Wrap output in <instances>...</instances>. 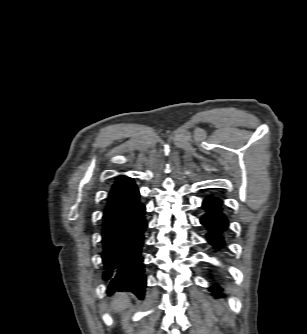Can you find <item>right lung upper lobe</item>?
Here are the masks:
<instances>
[{
	"mask_svg": "<svg viewBox=\"0 0 307 334\" xmlns=\"http://www.w3.org/2000/svg\"><path fill=\"white\" fill-rule=\"evenodd\" d=\"M122 178H124V177H119L117 180H120V179H122Z\"/></svg>",
	"mask_w": 307,
	"mask_h": 334,
	"instance_id": "1",
	"label": "right lung upper lobe"
}]
</instances>
